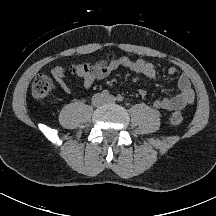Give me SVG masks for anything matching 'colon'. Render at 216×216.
<instances>
[{"mask_svg": "<svg viewBox=\"0 0 216 216\" xmlns=\"http://www.w3.org/2000/svg\"><path fill=\"white\" fill-rule=\"evenodd\" d=\"M80 69H92L89 66H79ZM53 90V82L46 74H39L35 77L31 92L32 96L38 101H45L49 98ZM183 122V114L180 111H174L169 115V124L171 126H179Z\"/></svg>", "mask_w": 216, "mask_h": 216, "instance_id": "colon-1", "label": "colon"}]
</instances>
